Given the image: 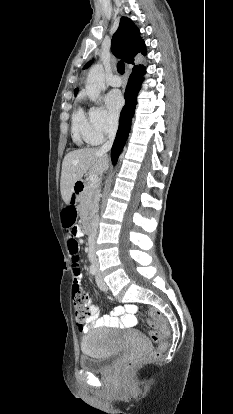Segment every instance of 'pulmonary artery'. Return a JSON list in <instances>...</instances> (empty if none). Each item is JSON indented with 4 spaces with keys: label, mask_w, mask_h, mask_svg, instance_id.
<instances>
[{
    "label": "pulmonary artery",
    "mask_w": 233,
    "mask_h": 414,
    "mask_svg": "<svg viewBox=\"0 0 233 414\" xmlns=\"http://www.w3.org/2000/svg\"><path fill=\"white\" fill-rule=\"evenodd\" d=\"M109 84L113 87H119L122 85V79L118 75H113L109 79Z\"/></svg>",
    "instance_id": "e3ab8cb5"
}]
</instances>
